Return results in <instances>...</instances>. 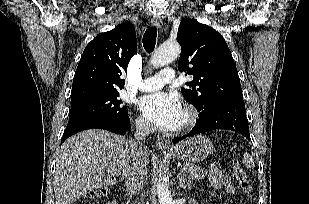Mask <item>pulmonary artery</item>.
Wrapping results in <instances>:
<instances>
[{
    "label": "pulmonary artery",
    "instance_id": "obj_1",
    "mask_svg": "<svg viewBox=\"0 0 309 204\" xmlns=\"http://www.w3.org/2000/svg\"><path fill=\"white\" fill-rule=\"evenodd\" d=\"M174 78V70L166 69L157 76L145 78L144 80H142L138 85V89L144 92L158 90L162 88L165 84L172 82Z\"/></svg>",
    "mask_w": 309,
    "mask_h": 204
}]
</instances>
